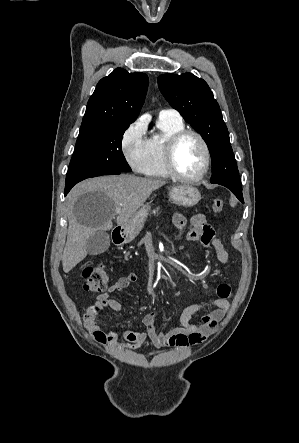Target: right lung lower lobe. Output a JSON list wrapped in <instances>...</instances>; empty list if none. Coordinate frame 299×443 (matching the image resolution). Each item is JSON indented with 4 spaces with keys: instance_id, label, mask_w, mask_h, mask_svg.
<instances>
[{
    "instance_id": "obj_1",
    "label": "right lung lower lobe",
    "mask_w": 299,
    "mask_h": 443,
    "mask_svg": "<svg viewBox=\"0 0 299 443\" xmlns=\"http://www.w3.org/2000/svg\"><path fill=\"white\" fill-rule=\"evenodd\" d=\"M121 172H114V173H108L105 175H113V174H120ZM74 185H69V186H65V193L64 195H67V193L70 191V189L73 187Z\"/></svg>"
}]
</instances>
